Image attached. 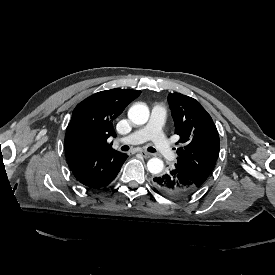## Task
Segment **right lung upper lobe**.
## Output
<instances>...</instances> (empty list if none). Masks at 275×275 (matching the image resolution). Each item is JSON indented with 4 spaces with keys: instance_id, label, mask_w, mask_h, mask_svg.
<instances>
[{
    "instance_id": "1",
    "label": "right lung upper lobe",
    "mask_w": 275,
    "mask_h": 275,
    "mask_svg": "<svg viewBox=\"0 0 275 275\" xmlns=\"http://www.w3.org/2000/svg\"><path fill=\"white\" fill-rule=\"evenodd\" d=\"M140 93L115 88L95 93L79 103L66 130V158L113 150L112 143H107L114 134L113 121Z\"/></svg>"
}]
</instances>
